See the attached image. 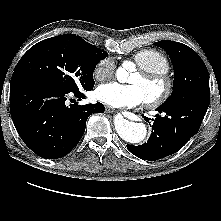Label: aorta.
<instances>
[{
    "instance_id": "aorta-1",
    "label": "aorta",
    "mask_w": 221,
    "mask_h": 221,
    "mask_svg": "<svg viewBox=\"0 0 221 221\" xmlns=\"http://www.w3.org/2000/svg\"><path fill=\"white\" fill-rule=\"evenodd\" d=\"M131 68L120 67L117 69L116 77L119 82H126ZM114 125L118 135L129 143H140L147 136V127L144 123L132 122L125 119L121 114L114 118Z\"/></svg>"
}]
</instances>
